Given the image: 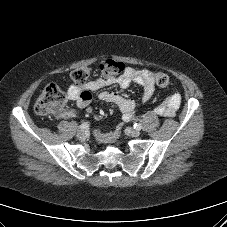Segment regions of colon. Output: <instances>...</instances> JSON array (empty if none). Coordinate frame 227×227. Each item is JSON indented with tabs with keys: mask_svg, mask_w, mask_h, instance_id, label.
<instances>
[{
	"mask_svg": "<svg viewBox=\"0 0 227 227\" xmlns=\"http://www.w3.org/2000/svg\"><path fill=\"white\" fill-rule=\"evenodd\" d=\"M125 70V65L121 62L107 59L100 63L99 71L105 78H113L121 75ZM90 76L88 67L75 69L71 78L76 85L84 84ZM154 82L165 87L169 84V77L163 72L152 73ZM68 103L67 95L55 84L47 85L40 93L36 104L35 111L39 116L59 115L65 112Z\"/></svg>",
	"mask_w": 227,
	"mask_h": 227,
	"instance_id": "obj_1",
	"label": "colon"
}]
</instances>
